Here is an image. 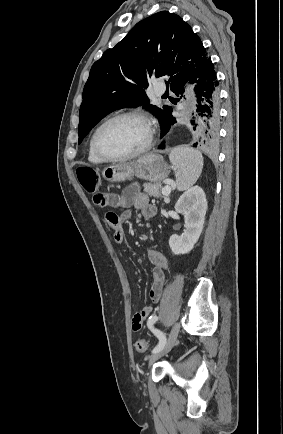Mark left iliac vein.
I'll list each match as a JSON object with an SVG mask.
<instances>
[{"label":"left iliac vein","mask_w":283,"mask_h":434,"mask_svg":"<svg viewBox=\"0 0 283 434\" xmlns=\"http://www.w3.org/2000/svg\"><path fill=\"white\" fill-rule=\"evenodd\" d=\"M179 331H180V323L177 322L172 327V330L169 334V337H168L164 347L160 351L153 353L149 357V366L152 365L153 362H155L156 360H158L159 358H161L162 356L167 354L172 349V347L174 346L175 341L177 339V336L179 334Z\"/></svg>","instance_id":"obj_1"}]
</instances>
